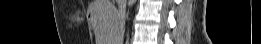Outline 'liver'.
I'll use <instances>...</instances> for the list:
<instances>
[{
  "instance_id": "obj_1",
  "label": "liver",
  "mask_w": 261,
  "mask_h": 44,
  "mask_svg": "<svg viewBox=\"0 0 261 44\" xmlns=\"http://www.w3.org/2000/svg\"><path fill=\"white\" fill-rule=\"evenodd\" d=\"M91 13H107L92 14L93 24H123V19H119L118 8H114L110 4V0H93L89 6ZM119 25H93V30H97V44H120L123 40L122 30Z\"/></svg>"
}]
</instances>
